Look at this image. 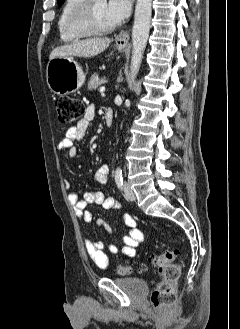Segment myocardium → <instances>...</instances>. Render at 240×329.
<instances>
[{"mask_svg":"<svg viewBox=\"0 0 240 329\" xmlns=\"http://www.w3.org/2000/svg\"><path fill=\"white\" fill-rule=\"evenodd\" d=\"M94 0H82L69 16L68 26L78 36L103 34L115 29L116 24L100 25L93 13Z\"/></svg>","mask_w":240,"mask_h":329,"instance_id":"myocardium-1","label":"myocardium"}]
</instances>
